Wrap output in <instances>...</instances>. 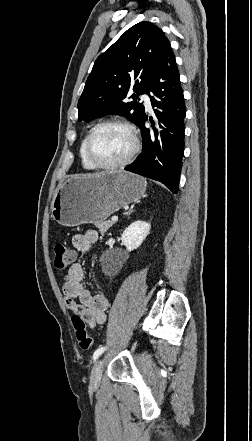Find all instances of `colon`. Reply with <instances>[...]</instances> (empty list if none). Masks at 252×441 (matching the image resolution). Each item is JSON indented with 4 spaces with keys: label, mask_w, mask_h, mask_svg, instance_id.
Listing matches in <instances>:
<instances>
[{
    "label": "colon",
    "mask_w": 252,
    "mask_h": 441,
    "mask_svg": "<svg viewBox=\"0 0 252 441\" xmlns=\"http://www.w3.org/2000/svg\"><path fill=\"white\" fill-rule=\"evenodd\" d=\"M54 252V266L58 269H64L74 258L73 252L63 244H57ZM72 323L80 348L89 349L92 345V338L87 331L86 322L78 313H73Z\"/></svg>",
    "instance_id": "1"
}]
</instances>
